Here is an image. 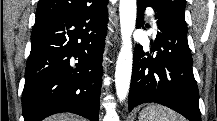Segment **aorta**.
Listing matches in <instances>:
<instances>
[{
    "instance_id": "aorta-1",
    "label": "aorta",
    "mask_w": 217,
    "mask_h": 121,
    "mask_svg": "<svg viewBox=\"0 0 217 121\" xmlns=\"http://www.w3.org/2000/svg\"><path fill=\"white\" fill-rule=\"evenodd\" d=\"M119 12L122 46L116 62L115 86L117 97L122 102L127 97L132 74L131 36L136 24V0H120Z\"/></svg>"
}]
</instances>
